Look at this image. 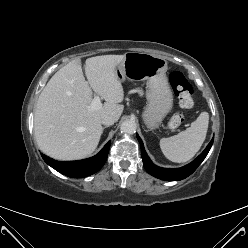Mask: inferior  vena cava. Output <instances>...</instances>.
<instances>
[{
  "instance_id": "obj_1",
  "label": "inferior vena cava",
  "mask_w": 248,
  "mask_h": 248,
  "mask_svg": "<svg viewBox=\"0 0 248 248\" xmlns=\"http://www.w3.org/2000/svg\"><path fill=\"white\" fill-rule=\"evenodd\" d=\"M114 122H115L114 117L109 116V115L104 116V117L102 118V120H101V123H102L103 125H106V126H111V125L114 124Z\"/></svg>"
}]
</instances>
